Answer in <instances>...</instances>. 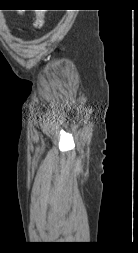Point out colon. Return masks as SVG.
<instances>
[{
	"instance_id": "colon-1",
	"label": "colon",
	"mask_w": 138,
	"mask_h": 253,
	"mask_svg": "<svg viewBox=\"0 0 138 253\" xmlns=\"http://www.w3.org/2000/svg\"><path fill=\"white\" fill-rule=\"evenodd\" d=\"M43 24H44V14L39 11L36 13V20H35L34 26L36 28H41Z\"/></svg>"
}]
</instances>
